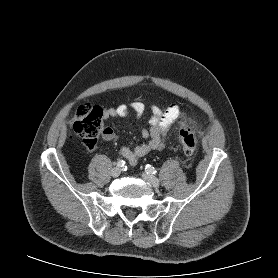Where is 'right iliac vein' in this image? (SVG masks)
<instances>
[{
  "label": "right iliac vein",
  "mask_w": 278,
  "mask_h": 278,
  "mask_svg": "<svg viewBox=\"0 0 278 278\" xmlns=\"http://www.w3.org/2000/svg\"><path fill=\"white\" fill-rule=\"evenodd\" d=\"M120 173H121L120 167H114L111 170L112 177H118L120 175Z\"/></svg>",
  "instance_id": "right-iliac-vein-1"
}]
</instances>
